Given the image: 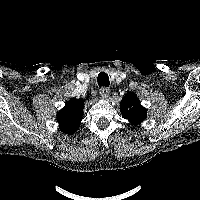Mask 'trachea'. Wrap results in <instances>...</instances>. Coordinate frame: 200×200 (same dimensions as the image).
<instances>
[{
    "label": "trachea",
    "mask_w": 200,
    "mask_h": 200,
    "mask_svg": "<svg viewBox=\"0 0 200 200\" xmlns=\"http://www.w3.org/2000/svg\"><path fill=\"white\" fill-rule=\"evenodd\" d=\"M97 82H98V85L99 87H102V86H109V77L106 73L104 72H101L98 74V77H97Z\"/></svg>",
    "instance_id": "1"
}]
</instances>
